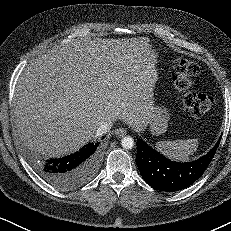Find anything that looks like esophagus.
Wrapping results in <instances>:
<instances>
[{
    "mask_svg": "<svg viewBox=\"0 0 231 231\" xmlns=\"http://www.w3.org/2000/svg\"><path fill=\"white\" fill-rule=\"evenodd\" d=\"M127 134L126 129L120 127L114 130V135L117 136L118 138H121Z\"/></svg>",
    "mask_w": 231,
    "mask_h": 231,
    "instance_id": "1",
    "label": "esophagus"
}]
</instances>
